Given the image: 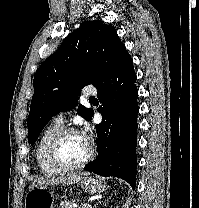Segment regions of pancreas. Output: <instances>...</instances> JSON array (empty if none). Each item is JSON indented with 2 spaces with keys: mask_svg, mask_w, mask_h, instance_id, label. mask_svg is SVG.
I'll return each mask as SVG.
<instances>
[{
  "mask_svg": "<svg viewBox=\"0 0 199 208\" xmlns=\"http://www.w3.org/2000/svg\"><path fill=\"white\" fill-rule=\"evenodd\" d=\"M75 204V200L72 201H63L60 204V208H73V205Z\"/></svg>",
  "mask_w": 199,
  "mask_h": 208,
  "instance_id": "obj_1",
  "label": "pancreas"
}]
</instances>
